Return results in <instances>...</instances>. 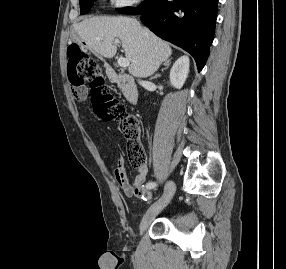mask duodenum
<instances>
[{"label": "duodenum", "mask_w": 286, "mask_h": 269, "mask_svg": "<svg viewBox=\"0 0 286 269\" xmlns=\"http://www.w3.org/2000/svg\"><path fill=\"white\" fill-rule=\"evenodd\" d=\"M107 76L116 82L129 104L135 105L138 100V89L134 80L126 73L116 72L112 66H107Z\"/></svg>", "instance_id": "obj_1"}]
</instances>
